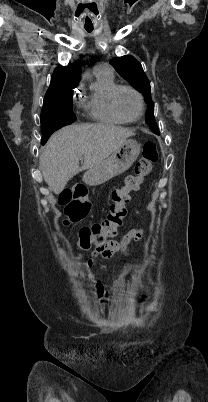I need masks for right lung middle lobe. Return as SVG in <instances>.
I'll list each match as a JSON object with an SVG mask.
<instances>
[{
  "label": "right lung middle lobe",
  "mask_w": 208,
  "mask_h": 402,
  "mask_svg": "<svg viewBox=\"0 0 208 402\" xmlns=\"http://www.w3.org/2000/svg\"><path fill=\"white\" fill-rule=\"evenodd\" d=\"M74 89L55 92L45 96L41 111V122L57 120L65 125L76 121L71 107V98ZM46 138L42 134L41 144L46 143Z\"/></svg>",
  "instance_id": "right-lung-middle-lobe-1"
}]
</instances>
